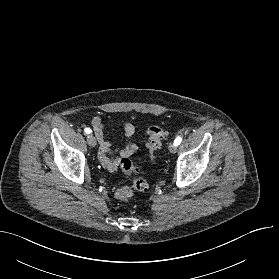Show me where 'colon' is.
Wrapping results in <instances>:
<instances>
[{"instance_id": "colon-1", "label": "colon", "mask_w": 279, "mask_h": 279, "mask_svg": "<svg viewBox=\"0 0 279 279\" xmlns=\"http://www.w3.org/2000/svg\"><path fill=\"white\" fill-rule=\"evenodd\" d=\"M148 142L147 149L149 158L152 162L156 161V153L161 150L167 137V132L159 126H151L147 130ZM120 166L127 175L141 174L143 169L133 164L129 158L121 159ZM148 189V183L143 178H135L131 186H121L115 190V197L120 201L129 200L134 192H144Z\"/></svg>"}]
</instances>
